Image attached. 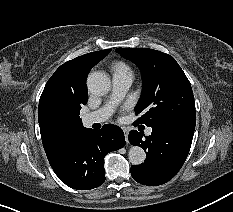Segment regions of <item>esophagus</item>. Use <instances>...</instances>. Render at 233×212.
Wrapping results in <instances>:
<instances>
[{"label": "esophagus", "instance_id": "esophagus-1", "mask_svg": "<svg viewBox=\"0 0 233 212\" xmlns=\"http://www.w3.org/2000/svg\"><path fill=\"white\" fill-rule=\"evenodd\" d=\"M124 135H125V140L127 143H129V140H128V132L126 130H124Z\"/></svg>", "mask_w": 233, "mask_h": 212}]
</instances>
